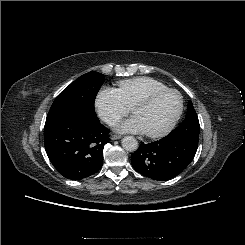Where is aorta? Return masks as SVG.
I'll use <instances>...</instances> for the list:
<instances>
[{
    "label": "aorta",
    "mask_w": 245,
    "mask_h": 245,
    "mask_svg": "<svg viewBox=\"0 0 245 245\" xmlns=\"http://www.w3.org/2000/svg\"><path fill=\"white\" fill-rule=\"evenodd\" d=\"M122 147L129 152H134L138 148V141L133 136H126L121 141Z\"/></svg>",
    "instance_id": "762f6f07"
}]
</instances>
